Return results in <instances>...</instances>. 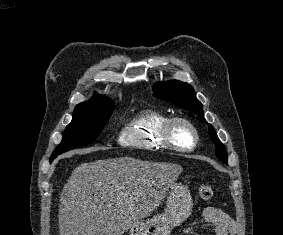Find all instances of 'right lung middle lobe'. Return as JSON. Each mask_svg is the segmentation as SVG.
<instances>
[{
    "mask_svg": "<svg viewBox=\"0 0 283 235\" xmlns=\"http://www.w3.org/2000/svg\"><path fill=\"white\" fill-rule=\"evenodd\" d=\"M112 112V104L76 106L72 121L67 125L62 141L53 152L50 161L63 152L93 142L111 117Z\"/></svg>",
    "mask_w": 283,
    "mask_h": 235,
    "instance_id": "obj_1",
    "label": "right lung middle lobe"
}]
</instances>
